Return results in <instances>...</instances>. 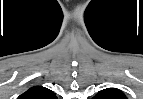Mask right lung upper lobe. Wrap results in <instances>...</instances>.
Segmentation results:
<instances>
[{
    "label": "right lung upper lobe",
    "instance_id": "right-lung-upper-lobe-1",
    "mask_svg": "<svg viewBox=\"0 0 143 99\" xmlns=\"http://www.w3.org/2000/svg\"><path fill=\"white\" fill-rule=\"evenodd\" d=\"M55 94L42 86H33L19 96V99H56Z\"/></svg>",
    "mask_w": 143,
    "mask_h": 99
}]
</instances>
